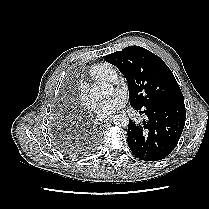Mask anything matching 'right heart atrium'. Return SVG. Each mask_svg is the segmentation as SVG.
Listing matches in <instances>:
<instances>
[{
  "label": "right heart atrium",
  "instance_id": "d8ad5b80",
  "mask_svg": "<svg viewBox=\"0 0 209 209\" xmlns=\"http://www.w3.org/2000/svg\"><path fill=\"white\" fill-rule=\"evenodd\" d=\"M78 100L82 107L88 111L93 109V104L88 96L87 89L85 87H81L78 93Z\"/></svg>",
  "mask_w": 209,
  "mask_h": 209
}]
</instances>
